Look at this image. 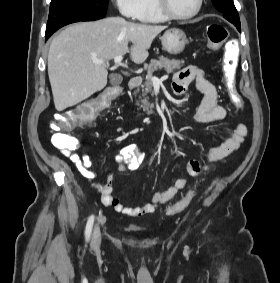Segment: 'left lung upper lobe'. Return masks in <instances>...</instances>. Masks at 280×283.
<instances>
[{"label":"left lung upper lobe","instance_id":"obj_1","mask_svg":"<svg viewBox=\"0 0 280 283\" xmlns=\"http://www.w3.org/2000/svg\"><path fill=\"white\" fill-rule=\"evenodd\" d=\"M213 5L224 14V18L231 23L240 24L239 14L233 0H212Z\"/></svg>","mask_w":280,"mask_h":283}]
</instances>
